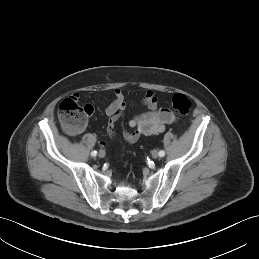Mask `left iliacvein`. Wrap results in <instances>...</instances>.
Masks as SVG:
<instances>
[{"mask_svg":"<svg viewBox=\"0 0 259 259\" xmlns=\"http://www.w3.org/2000/svg\"><path fill=\"white\" fill-rule=\"evenodd\" d=\"M151 155H152V158L156 159V158H158L159 153H158L157 150H153L152 153H151Z\"/></svg>","mask_w":259,"mask_h":259,"instance_id":"left-iliac-vein-1","label":"left iliac vein"}]
</instances>
